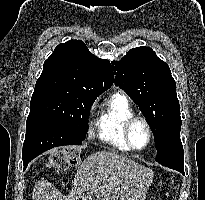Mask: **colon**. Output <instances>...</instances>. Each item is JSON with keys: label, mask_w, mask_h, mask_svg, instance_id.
<instances>
[{"label": "colon", "mask_w": 205, "mask_h": 200, "mask_svg": "<svg viewBox=\"0 0 205 200\" xmlns=\"http://www.w3.org/2000/svg\"><path fill=\"white\" fill-rule=\"evenodd\" d=\"M80 160L79 151L74 147L59 149L49 156L48 168L63 171L75 167Z\"/></svg>", "instance_id": "obj_1"}]
</instances>
